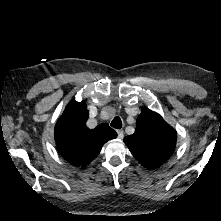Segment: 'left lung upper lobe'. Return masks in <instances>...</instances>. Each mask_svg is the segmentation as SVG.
<instances>
[{"label": "left lung upper lobe", "instance_id": "5c2ea615", "mask_svg": "<svg viewBox=\"0 0 221 221\" xmlns=\"http://www.w3.org/2000/svg\"><path fill=\"white\" fill-rule=\"evenodd\" d=\"M176 140L174 128L149 109L138 116L135 133L124 138L133 156L148 169L156 168L170 158Z\"/></svg>", "mask_w": 221, "mask_h": 221}]
</instances>
